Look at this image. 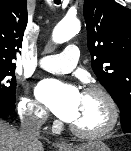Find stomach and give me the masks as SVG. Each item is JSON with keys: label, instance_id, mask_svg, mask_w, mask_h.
I'll use <instances>...</instances> for the list:
<instances>
[{"label": "stomach", "instance_id": "obj_1", "mask_svg": "<svg viewBox=\"0 0 131 151\" xmlns=\"http://www.w3.org/2000/svg\"><path fill=\"white\" fill-rule=\"evenodd\" d=\"M67 151H110V149L100 140H91L80 146L68 147Z\"/></svg>", "mask_w": 131, "mask_h": 151}]
</instances>
